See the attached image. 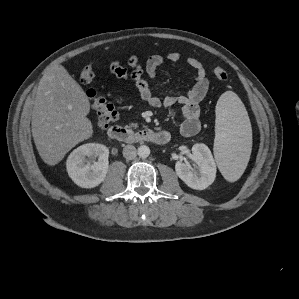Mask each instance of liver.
Returning <instances> with one entry per match:
<instances>
[{
  "mask_svg": "<svg viewBox=\"0 0 299 299\" xmlns=\"http://www.w3.org/2000/svg\"><path fill=\"white\" fill-rule=\"evenodd\" d=\"M90 102L62 65L41 78L32 112V136L42 160L54 166L79 142L90 138Z\"/></svg>",
  "mask_w": 299,
  "mask_h": 299,
  "instance_id": "liver-1",
  "label": "liver"
}]
</instances>
